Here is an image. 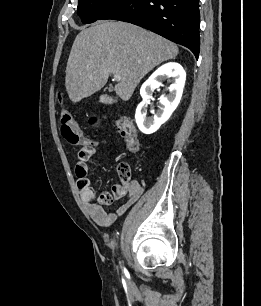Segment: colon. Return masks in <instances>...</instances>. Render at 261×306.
<instances>
[{
	"label": "colon",
	"instance_id": "5ec220e1",
	"mask_svg": "<svg viewBox=\"0 0 261 306\" xmlns=\"http://www.w3.org/2000/svg\"><path fill=\"white\" fill-rule=\"evenodd\" d=\"M57 100L61 104L62 97L60 93L57 94ZM59 118L62 136L70 144L81 147L79 158L89 156L92 152V141L83 136L82 130L72 113L62 105L59 108ZM92 123H95V121L93 120ZM115 127L125 141L127 148L131 151H136L139 143L133 125L127 119L119 118L115 121ZM117 170L123 181V185L121 186H127L130 177L128 165L120 164ZM77 184L79 189H87L90 186L86 179L78 180ZM120 196V190L112 189L110 192L102 194L98 201L103 205H111Z\"/></svg>",
	"mask_w": 261,
	"mask_h": 306
}]
</instances>
